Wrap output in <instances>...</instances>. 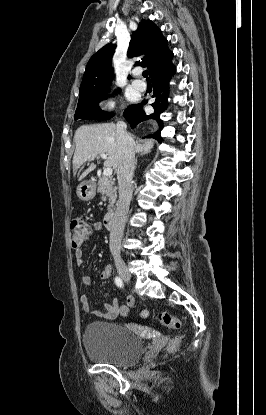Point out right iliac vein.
<instances>
[{
	"label": "right iliac vein",
	"instance_id": "1",
	"mask_svg": "<svg viewBox=\"0 0 266 415\" xmlns=\"http://www.w3.org/2000/svg\"><path fill=\"white\" fill-rule=\"evenodd\" d=\"M116 268H117L119 275L121 276L123 280L129 281L131 279V274L126 264L122 260L120 259L116 260Z\"/></svg>",
	"mask_w": 266,
	"mask_h": 415
}]
</instances>
